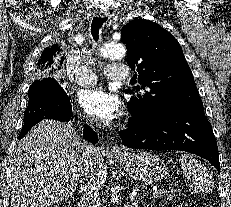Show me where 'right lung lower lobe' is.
<instances>
[{
	"instance_id": "98d812e1",
	"label": "right lung lower lobe",
	"mask_w": 231,
	"mask_h": 207,
	"mask_svg": "<svg viewBox=\"0 0 231 207\" xmlns=\"http://www.w3.org/2000/svg\"><path fill=\"white\" fill-rule=\"evenodd\" d=\"M32 87H34V94L29 99L25 110L24 125L19 139L23 138L34 125L43 119L69 122L74 118L69 97L54 79L40 80V83ZM84 127L83 137L92 143H97V134L89 126L84 125Z\"/></svg>"
}]
</instances>
